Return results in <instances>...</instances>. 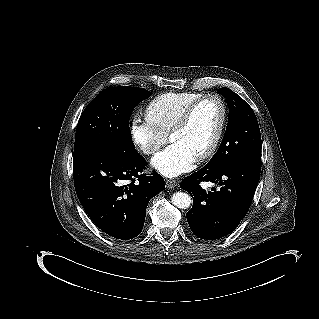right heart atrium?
Instances as JSON below:
<instances>
[{"instance_id": "1", "label": "right heart atrium", "mask_w": 319, "mask_h": 319, "mask_svg": "<svg viewBox=\"0 0 319 319\" xmlns=\"http://www.w3.org/2000/svg\"><path fill=\"white\" fill-rule=\"evenodd\" d=\"M149 133V139L148 141V134ZM135 136L139 140V144H144L143 141L145 139V142L150 146L153 144L155 148H159L164 143L163 135L160 131H158L155 127L145 124L140 127H136L135 129Z\"/></svg>"}]
</instances>
